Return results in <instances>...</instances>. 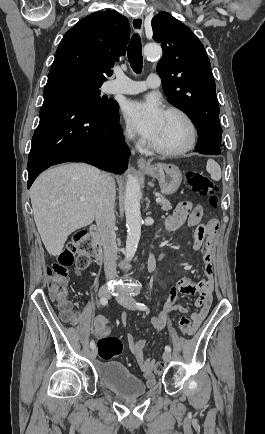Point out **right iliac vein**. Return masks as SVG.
Masks as SVG:
<instances>
[{
	"label": "right iliac vein",
	"instance_id": "obj_1",
	"mask_svg": "<svg viewBox=\"0 0 265 434\" xmlns=\"http://www.w3.org/2000/svg\"><path fill=\"white\" fill-rule=\"evenodd\" d=\"M98 295H99V297L106 298V299H109V296H110L109 291L106 287L100 288ZM88 354H89V357L91 359H95V357L97 355V350L94 348V349L90 350Z\"/></svg>",
	"mask_w": 265,
	"mask_h": 434
}]
</instances>
